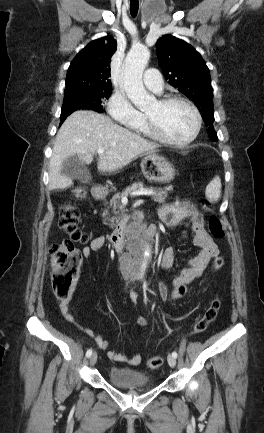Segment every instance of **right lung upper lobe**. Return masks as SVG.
Here are the masks:
<instances>
[{
	"label": "right lung upper lobe",
	"instance_id": "right-lung-upper-lobe-1",
	"mask_svg": "<svg viewBox=\"0 0 264 433\" xmlns=\"http://www.w3.org/2000/svg\"><path fill=\"white\" fill-rule=\"evenodd\" d=\"M116 47L115 39L106 36L90 42L77 54L67 71L65 97L112 88L110 59Z\"/></svg>",
	"mask_w": 264,
	"mask_h": 433
}]
</instances>
